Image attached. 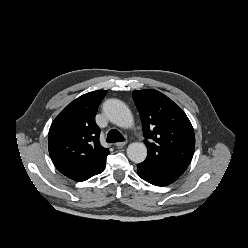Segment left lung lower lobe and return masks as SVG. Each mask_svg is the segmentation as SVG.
Segmentation results:
<instances>
[{
  "instance_id": "0a47b994",
  "label": "left lung lower lobe",
  "mask_w": 248,
  "mask_h": 248,
  "mask_svg": "<svg viewBox=\"0 0 248 248\" xmlns=\"http://www.w3.org/2000/svg\"><path fill=\"white\" fill-rule=\"evenodd\" d=\"M138 175L155 186H167L175 182L185 170L166 166L156 161L145 159L137 165Z\"/></svg>"
}]
</instances>
